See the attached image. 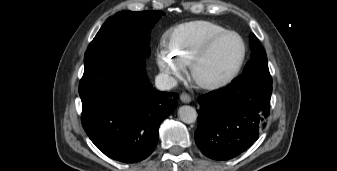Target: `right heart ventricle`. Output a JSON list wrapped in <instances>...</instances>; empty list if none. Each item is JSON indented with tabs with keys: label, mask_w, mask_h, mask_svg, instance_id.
I'll use <instances>...</instances> for the list:
<instances>
[{
	"label": "right heart ventricle",
	"mask_w": 337,
	"mask_h": 171,
	"mask_svg": "<svg viewBox=\"0 0 337 171\" xmlns=\"http://www.w3.org/2000/svg\"><path fill=\"white\" fill-rule=\"evenodd\" d=\"M226 30L222 25L207 20L180 24L168 33L167 50L183 66H189L193 56L208 39Z\"/></svg>",
	"instance_id": "1"
}]
</instances>
